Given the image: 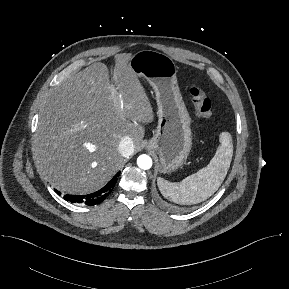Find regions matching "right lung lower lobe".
<instances>
[{"label":"right lung lower lobe","instance_id":"98d812e1","mask_svg":"<svg viewBox=\"0 0 289 289\" xmlns=\"http://www.w3.org/2000/svg\"><path fill=\"white\" fill-rule=\"evenodd\" d=\"M116 174L102 189L88 195H65L64 199L71 203H84L86 205H95L102 202L112 191L113 186L117 181Z\"/></svg>","mask_w":289,"mask_h":289}]
</instances>
